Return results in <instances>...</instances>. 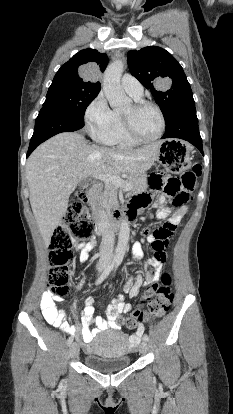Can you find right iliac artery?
Masks as SVG:
<instances>
[{
    "instance_id": "obj_1",
    "label": "right iliac artery",
    "mask_w": 233,
    "mask_h": 414,
    "mask_svg": "<svg viewBox=\"0 0 233 414\" xmlns=\"http://www.w3.org/2000/svg\"><path fill=\"white\" fill-rule=\"evenodd\" d=\"M114 266H115L114 262L109 264L107 266V268L103 271V273L98 277L95 284L96 285L101 284L107 278V276L110 274V272L113 270ZM72 342H73V337H69L68 340H67V345L70 346L72 344Z\"/></svg>"
}]
</instances>
